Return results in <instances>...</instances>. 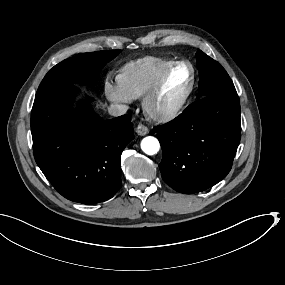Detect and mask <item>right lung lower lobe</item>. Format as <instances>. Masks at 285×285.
I'll list each match as a JSON object with an SVG mask.
<instances>
[{
	"instance_id": "obj_1",
	"label": "right lung lower lobe",
	"mask_w": 285,
	"mask_h": 285,
	"mask_svg": "<svg viewBox=\"0 0 285 285\" xmlns=\"http://www.w3.org/2000/svg\"><path fill=\"white\" fill-rule=\"evenodd\" d=\"M72 84L35 98L31 111L33 152L37 165L68 200L95 204L121 188L120 157L134 139L130 115L103 121L82 104L71 110Z\"/></svg>"
}]
</instances>
